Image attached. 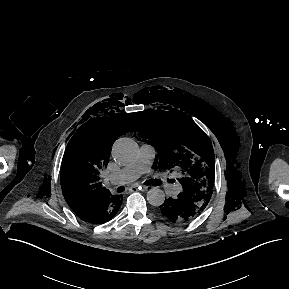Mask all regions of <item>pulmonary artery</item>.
<instances>
[{"mask_svg":"<svg viewBox=\"0 0 289 289\" xmlns=\"http://www.w3.org/2000/svg\"><path fill=\"white\" fill-rule=\"evenodd\" d=\"M156 150L152 144L144 143L140 147L139 155L136 161L120 169L107 177V180L113 184H126L134 181L140 175L148 172L153 163ZM175 189L174 186H166V189Z\"/></svg>","mask_w":289,"mask_h":289,"instance_id":"obj_1","label":"pulmonary artery"}]
</instances>
